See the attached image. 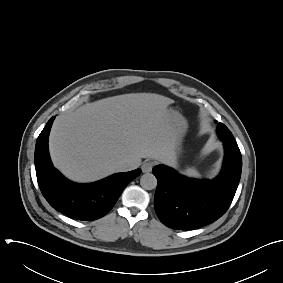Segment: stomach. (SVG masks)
<instances>
[{
  "mask_svg": "<svg viewBox=\"0 0 283 283\" xmlns=\"http://www.w3.org/2000/svg\"><path fill=\"white\" fill-rule=\"evenodd\" d=\"M166 121L172 133L175 154H179L181 152L183 137L188 128L187 121L180 113L173 109H167Z\"/></svg>",
  "mask_w": 283,
  "mask_h": 283,
  "instance_id": "stomach-1",
  "label": "stomach"
}]
</instances>
